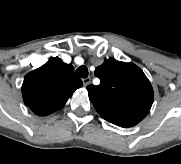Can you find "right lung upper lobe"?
Masks as SVG:
<instances>
[{"label": "right lung upper lobe", "instance_id": "right-lung-upper-lobe-1", "mask_svg": "<svg viewBox=\"0 0 181 164\" xmlns=\"http://www.w3.org/2000/svg\"><path fill=\"white\" fill-rule=\"evenodd\" d=\"M82 86V80L74 75L71 64L52 57L25 76L22 95L26 106L35 114L45 116L61 109L73 92Z\"/></svg>", "mask_w": 181, "mask_h": 164}]
</instances>
